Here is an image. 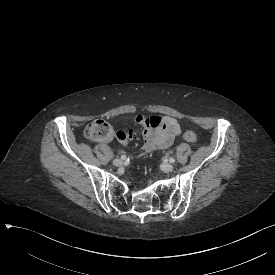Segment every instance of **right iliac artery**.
<instances>
[{
	"label": "right iliac artery",
	"mask_w": 275,
	"mask_h": 275,
	"mask_svg": "<svg viewBox=\"0 0 275 275\" xmlns=\"http://www.w3.org/2000/svg\"><path fill=\"white\" fill-rule=\"evenodd\" d=\"M121 158H122V159H125V156H124V155H122V156H121Z\"/></svg>",
	"instance_id": "82829eb1"
}]
</instances>
